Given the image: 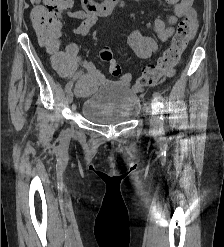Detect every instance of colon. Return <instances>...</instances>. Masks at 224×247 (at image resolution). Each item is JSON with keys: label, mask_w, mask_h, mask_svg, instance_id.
Listing matches in <instances>:
<instances>
[{"label": "colon", "mask_w": 224, "mask_h": 247, "mask_svg": "<svg viewBox=\"0 0 224 247\" xmlns=\"http://www.w3.org/2000/svg\"><path fill=\"white\" fill-rule=\"evenodd\" d=\"M73 0H45L44 5L36 6L31 14L33 27L39 39L52 50L59 46L61 15L72 6ZM193 24L186 17L178 24L171 45L163 52L157 63L147 66L138 78L137 84L145 86L156 82L162 75L167 74L178 64L183 51L190 41ZM100 59L109 64V72L113 76L121 74V65L113 59L110 47L100 50ZM56 66L66 78L73 80L77 91L81 94L92 92L98 86V80L91 73H80L79 62L76 60L75 49L71 48L68 55L58 57Z\"/></svg>", "instance_id": "1"}]
</instances>
